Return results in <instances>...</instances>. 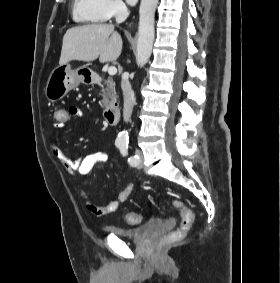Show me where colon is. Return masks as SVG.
<instances>
[{
	"label": "colon",
	"mask_w": 280,
	"mask_h": 283,
	"mask_svg": "<svg viewBox=\"0 0 280 283\" xmlns=\"http://www.w3.org/2000/svg\"><path fill=\"white\" fill-rule=\"evenodd\" d=\"M54 122H60L62 125L72 122V114H68V107H57V111H54ZM172 205L180 210L181 223L170 237L178 239L191 229L195 217L192 210L181 200L174 199ZM125 220L129 224H137L141 221V216L136 212H128L125 214Z\"/></svg>",
	"instance_id": "colon-1"
}]
</instances>
